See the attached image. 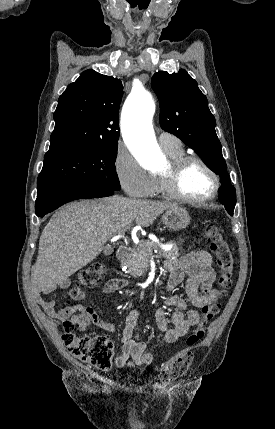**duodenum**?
<instances>
[{
  "label": "duodenum",
  "mask_w": 275,
  "mask_h": 429,
  "mask_svg": "<svg viewBox=\"0 0 275 429\" xmlns=\"http://www.w3.org/2000/svg\"><path fill=\"white\" fill-rule=\"evenodd\" d=\"M130 256V250L126 246H120L117 250V259L120 262L126 261Z\"/></svg>",
  "instance_id": "410a0bca"
}]
</instances>
